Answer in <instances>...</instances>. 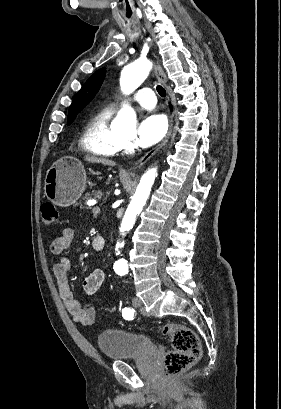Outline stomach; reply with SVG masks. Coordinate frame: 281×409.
<instances>
[{
  "label": "stomach",
  "instance_id": "obj_1",
  "mask_svg": "<svg viewBox=\"0 0 281 409\" xmlns=\"http://www.w3.org/2000/svg\"><path fill=\"white\" fill-rule=\"evenodd\" d=\"M87 174L76 156L58 158L45 176L44 192L57 207H70L85 190Z\"/></svg>",
  "mask_w": 281,
  "mask_h": 409
}]
</instances>
